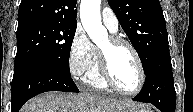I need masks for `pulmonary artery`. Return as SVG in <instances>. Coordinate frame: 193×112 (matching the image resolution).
I'll list each match as a JSON object with an SVG mask.
<instances>
[{
  "instance_id": "pulmonary-artery-1",
  "label": "pulmonary artery",
  "mask_w": 193,
  "mask_h": 112,
  "mask_svg": "<svg viewBox=\"0 0 193 112\" xmlns=\"http://www.w3.org/2000/svg\"><path fill=\"white\" fill-rule=\"evenodd\" d=\"M101 19L104 26L112 33H116L118 31V19L113 12V10L109 7H105L101 13Z\"/></svg>"
}]
</instances>
